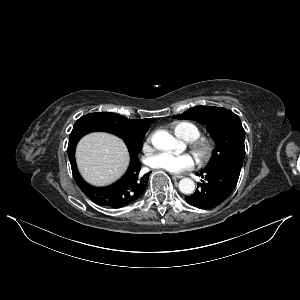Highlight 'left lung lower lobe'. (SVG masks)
<instances>
[{
    "mask_svg": "<svg viewBox=\"0 0 300 300\" xmlns=\"http://www.w3.org/2000/svg\"><path fill=\"white\" fill-rule=\"evenodd\" d=\"M240 171L241 167L227 163L197 173L206 181L199 184V190L185 198L187 203L200 209L218 206L234 190Z\"/></svg>",
    "mask_w": 300,
    "mask_h": 300,
    "instance_id": "obj_1",
    "label": "left lung lower lobe"
}]
</instances>
